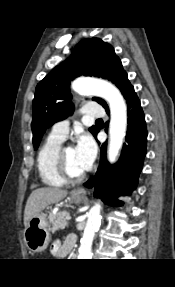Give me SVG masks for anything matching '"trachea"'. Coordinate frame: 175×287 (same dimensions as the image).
I'll list each match as a JSON object with an SVG mask.
<instances>
[{"instance_id": "trachea-1", "label": "trachea", "mask_w": 175, "mask_h": 287, "mask_svg": "<svg viewBox=\"0 0 175 287\" xmlns=\"http://www.w3.org/2000/svg\"><path fill=\"white\" fill-rule=\"evenodd\" d=\"M96 122H103V120L102 119H97Z\"/></svg>"}]
</instances>
